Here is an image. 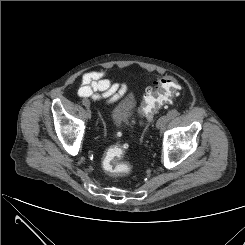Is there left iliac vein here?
<instances>
[{
	"instance_id": "4c4485c4",
	"label": "left iliac vein",
	"mask_w": 245,
	"mask_h": 245,
	"mask_svg": "<svg viewBox=\"0 0 245 245\" xmlns=\"http://www.w3.org/2000/svg\"><path fill=\"white\" fill-rule=\"evenodd\" d=\"M167 121H168L167 115L162 116L161 118L158 119V121L156 123V127L158 129H161L162 130L164 128V125L166 124Z\"/></svg>"
}]
</instances>
